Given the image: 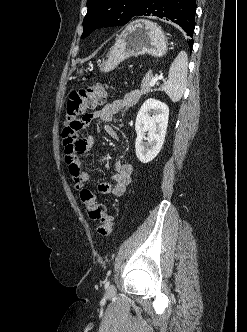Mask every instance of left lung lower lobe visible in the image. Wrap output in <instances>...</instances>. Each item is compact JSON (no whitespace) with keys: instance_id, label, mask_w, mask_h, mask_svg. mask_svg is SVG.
<instances>
[{"instance_id":"0a47b994","label":"left lung lower lobe","mask_w":247,"mask_h":332,"mask_svg":"<svg viewBox=\"0 0 247 332\" xmlns=\"http://www.w3.org/2000/svg\"><path fill=\"white\" fill-rule=\"evenodd\" d=\"M195 0H146L136 16H157L171 20L182 27L189 37H193L195 28ZM190 50L193 39L187 40Z\"/></svg>"}]
</instances>
